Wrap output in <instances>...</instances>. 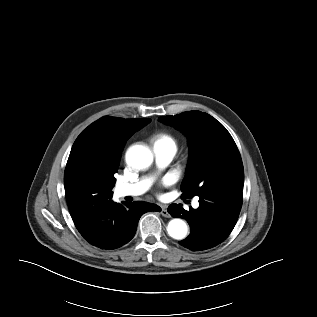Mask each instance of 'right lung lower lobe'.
Masks as SVG:
<instances>
[{
  "label": "right lung lower lobe",
  "mask_w": 317,
  "mask_h": 317,
  "mask_svg": "<svg viewBox=\"0 0 317 317\" xmlns=\"http://www.w3.org/2000/svg\"><path fill=\"white\" fill-rule=\"evenodd\" d=\"M67 204L76 228L90 244L101 249H116L135 235L140 217L160 207L147 202L114 203L111 198L90 200L77 193H66Z\"/></svg>",
  "instance_id": "right-lung-lower-lobe-1"
}]
</instances>
